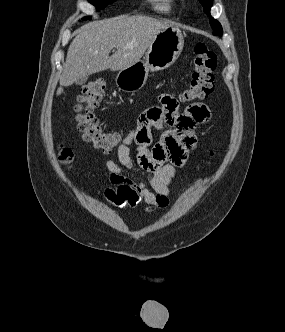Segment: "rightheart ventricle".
<instances>
[{
    "mask_svg": "<svg viewBox=\"0 0 285 332\" xmlns=\"http://www.w3.org/2000/svg\"><path fill=\"white\" fill-rule=\"evenodd\" d=\"M151 7L157 13L170 15L173 10V0H149Z\"/></svg>",
    "mask_w": 285,
    "mask_h": 332,
    "instance_id": "obj_1",
    "label": "right heart ventricle"
}]
</instances>
